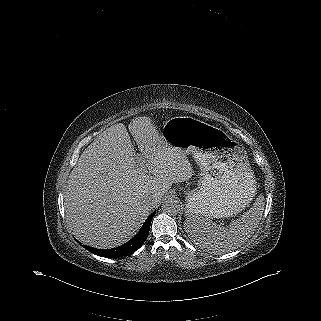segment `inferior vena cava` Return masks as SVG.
<instances>
[{"mask_svg": "<svg viewBox=\"0 0 321 321\" xmlns=\"http://www.w3.org/2000/svg\"><path fill=\"white\" fill-rule=\"evenodd\" d=\"M146 203L148 205H152L153 204V199L151 197H149L147 200H146Z\"/></svg>", "mask_w": 321, "mask_h": 321, "instance_id": "1", "label": "inferior vena cava"}]
</instances>
